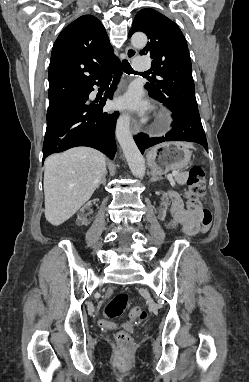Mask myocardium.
<instances>
[{"label": "myocardium", "instance_id": "f54148a6", "mask_svg": "<svg viewBox=\"0 0 249 382\" xmlns=\"http://www.w3.org/2000/svg\"><path fill=\"white\" fill-rule=\"evenodd\" d=\"M170 123V117L165 112H159L156 116V124L158 128H166Z\"/></svg>", "mask_w": 249, "mask_h": 382}]
</instances>
